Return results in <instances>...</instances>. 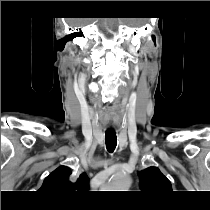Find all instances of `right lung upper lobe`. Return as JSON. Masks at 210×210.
<instances>
[{
  "mask_svg": "<svg viewBox=\"0 0 210 210\" xmlns=\"http://www.w3.org/2000/svg\"><path fill=\"white\" fill-rule=\"evenodd\" d=\"M71 173L69 167H58L45 178L40 191L59 201L76 198L80 192L89 188V177L82 173L75 182H72L69 180Z\"/></svg>",
  "mask_w": 210,
  "mask_h": 210,
  "instance_id": "obj_1",
  "label": "right lung upper lobe"
}]
</instances>
